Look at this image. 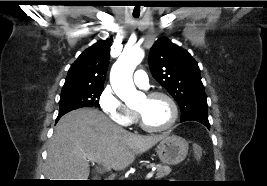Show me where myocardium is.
<instances>
[{
	"label": "myocardium",
	"instance_id": "f54148a6",
	"mask_svg": "<svg viewBox=\"0 0 267 186\" xmlns=\"http://www.w3.org/2000/svg\"><path fill=\"white\" fill-rule=\"evenodd\" d=\"M146 97L149 99L156 98V97L165 98L171 106V118L168 121V123L162 127H150L144 122L143 117L140 114V112L135 111V116H136V119H137V122L140 128L146 132H151V133H160V132H164V131L171 129L177 122L178 116H179L178 106H177L176 101L173 99V97L170 96L168 93H165L162 91L150 92L146 95Z\"/></svg>",
	"mask_w": 267,
	"mask_h": 186
}]
</instances>
